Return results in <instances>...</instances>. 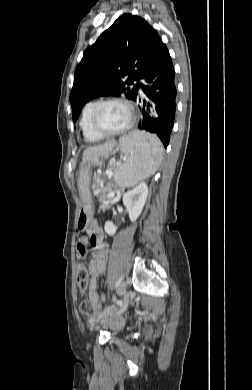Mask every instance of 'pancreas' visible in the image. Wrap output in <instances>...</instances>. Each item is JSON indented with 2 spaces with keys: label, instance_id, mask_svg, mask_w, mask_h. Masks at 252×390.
Masks as SVG:
<instances>
[{
  "label": "pancreas",
  "instance_id": "cf45deb5",
  "mask_svg": "<svg viewBox=\"0 0 252 390\" xmlns=\"http://www.w3.org/2000/svg\"><path fill=\"white\" fill-rule=\"evenodd\" d=\"M95 190V188H94ZM111 208V202H101V205H100V212L101 213H104L106 209H109Z\"/></svg>",
  "mask_w": 252,
  "mask_h": 390
}]
</instances>
